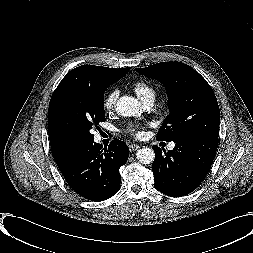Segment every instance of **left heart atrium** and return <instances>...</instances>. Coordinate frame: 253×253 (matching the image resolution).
I'll list each match as a JSON object with an SVG mask.
<instances>
[{"mask_svg": "<svg viewBox=\"0 0 253 253\" xmlns=\"http://www.w3.org/2000/svg\"><path fill=\"white\" fill-rule=\"evenodd\" d=\"M126 132L133 136L134 138L140 139L144 136V131H143V127L139 124H132L130 125Z\"/></svg>", "mask_w": 253, "mask_h": 253, "instance_id": "39dd6f15", "label": "left heart atrium"}]
</instances>
